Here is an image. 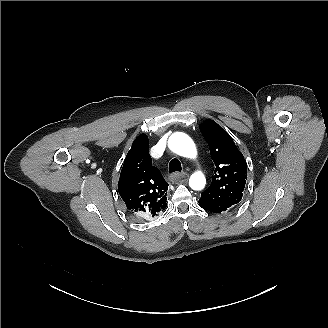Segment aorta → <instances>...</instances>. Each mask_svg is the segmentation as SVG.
<instances>
[{
  "label": "aorta",
  "mask_w": 328,
  "mask_h": 328,
  "mask_svg": "<svg viewBox=\"0 0 328 328\" xmlns=\"http://www.w3.org/2000/svg\"><path fill=\"white\" fill-rule=\"evenodd\" d=\"M170 150L177 155L186 158H195L197 155L196 146L193 140L185 133L176 132L172 134L168 141ZM206 178L200 171L193 173L189 179V186L193 190H202L205 187Z\"/></svg>",
  "instance_id": "obj_1"
}]
</instances>
